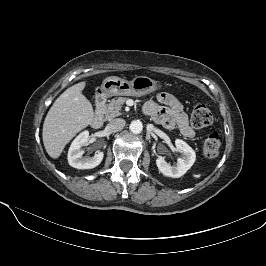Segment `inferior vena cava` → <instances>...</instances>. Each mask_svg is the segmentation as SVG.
<instances>
[{
    "label": "inferior vena cava",
    "mask_w": 266,
    "mask_h": 266,
    "mask_svg": "<svg viewBox=\"0 0 266 266\" xmlns=\"http://www.w3.org/2000/svg\"><path fill=\"white\" fill-rule=\"evenodd\" d=\"M125 120L122 118H116L109 122L108 127L112 132H118L125 127Z\"/></svg>",
    "instance_id": "obj_1"
}]
</instances>
